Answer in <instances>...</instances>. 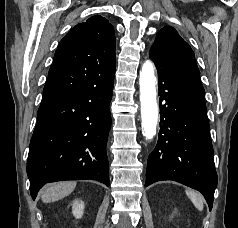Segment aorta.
Instances as JSON below:
<instances>
[{
  "label": "aorta",
  "mask_w": 238,
  "mask_h": 228,
  "mask_svg": "<svg viewBox=\"0 0 238 228\" xmlns=\"http://www.w3.org/2000/svg\"><path fill=\"white\" fill-rule=\"evenodd\" d=\"M140 103L142 134L152 139L156 134L158 121V105L156 100L155 67L152 61H145L140 71Z\"/></svg>",
  "instance_id": "obj_1"
}]
</instances>
